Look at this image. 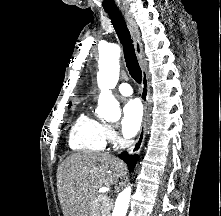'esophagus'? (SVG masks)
<instances>
[{
  "label": "esophagus",
  "instance_id": "1",
  "mask_svg": "<svg viewBox=\"0 0 221 216\" xmlns=\"http://www.w3.org/2000/svg\"><path fill=\"white\" fill-rule=\"evenodd\" d=\"M122 14L126 20L127 26L130 30L136 55L138 59L140 60L141 64L143 63V47L141 43V37L140 32L138 29L137 24L135 23V20L133 19L131 13L128 10H122ZM142 86H141V100L143 102V121L142 125L138 134L137 139L135 140L134 144L129 149V154L135 155L138 154L143 146L145 134H146V120H147V108H148V97H149V81H148V75L147 71L145 70V67L142 64Z\"/></svg>",
  "mask_w": 221,
  "mask_h": 216
}]
</instances>
